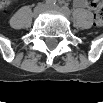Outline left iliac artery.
<instances>
[{"label": "left iliac artery", "instance_id": "44dca946", "mask_svg": "<svg viewBox=\"0 0 103 103\" xmlns=\"http://www.w3.org/2000/svg\"><path fill=\"white\" fill-rule=\"evenodd\" d=\"M62 10L63 12L66 14V15H70L71 14V11L69 10V8L67 6H62Z\"/></svg>", "mask_w": 103, "mask_h": 103}]
</instances>
